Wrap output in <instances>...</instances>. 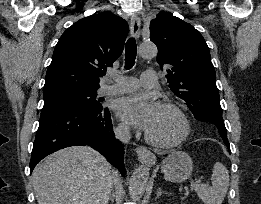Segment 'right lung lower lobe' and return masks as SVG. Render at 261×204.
<instances>
[{"label": "right lung lower lobe", "instance_id": "obj_1", "mask_svg": "<svg viewBox=\"0 0 261 204\" xmlns=\"http://www.w3.org/2000/svg\"><path fill=\"white\" fill-rule=\"evenodd\" d=\"M90 145L124 176V145L115 139L108 109L100 104L42 109L30 160L32 172L47 155L69 146Z\"/></svg>", "mask_w": 261, "mask_h": 204}]
</instances>
